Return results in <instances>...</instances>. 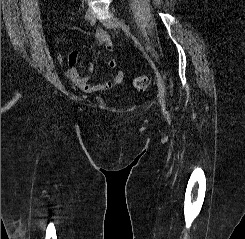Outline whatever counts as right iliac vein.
<instances>
[{"label": "right iliac vein", "instance_id": "right-iliac-vein-1", "mask_svg": "<svg viewBox=\"0 0 245 239\" xmlns=\"http://www.w3.org/2000/svg\"><path fill=\"white\" fill-rule=\"evenodd\" d=\"M93 17H94L93 11L90 8H88L85 13L86 20L91 21Z\"/></svg>", "mask_w": 245, "mask_h": 239}]
</instances>
